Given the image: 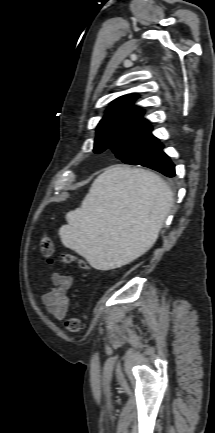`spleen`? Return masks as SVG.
Instances as JSON below:
<instances>
[{"instance_id": "spleen-1", "label": "spleen", "mask_w": 215, "mask_h": 433, "mask_svg": "<svg viewBox=\"0 0 215 433\" xmlns=\"http://www.w3.org/2000/svg\"><path fill=\"white\" fill-rule=\"evenodd\" d=\"M172 203L171 189L155 173L112 166L66 214L61 242L96 269L123 266L153 246Z\"/></svg>"}]
</instances>
